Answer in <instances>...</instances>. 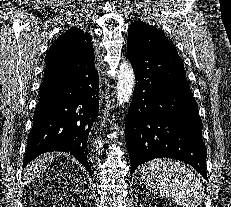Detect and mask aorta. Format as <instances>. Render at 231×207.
Segmentation results:
<instances>
[{"instance_id": "aorta-1", "label": "aorta", "mask_w": 231, "mask_h": 207, "mask_svg": "<svg viewBox=\"0 0 231 207\" xmlns=\"http://www.w3.org/2000/svg\"><path fill=\"white\" fill-rule=\"evenodd\" d=\"M135 86V75L131 64L128 61H123L120 64L118 71V84H117V105L122 106L127 103L133 93ZM96 150L100 153L102 147L101 140L96 142Z\"/></svg>"}]
</instances>
